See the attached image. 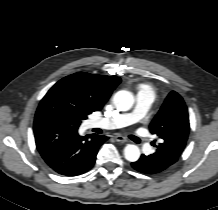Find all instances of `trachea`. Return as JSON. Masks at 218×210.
I'll return each instance as SVG.
<instances>
[{
    "label": "trachea",
    "mask_w": 218,
    "mask_h": 210,
    "mask_svg": "<svg viewBox=\"0 0 218 210\" xmlns=\"http://www.w3.org/2000/svg\"><path fill=\"white\" fill-rule=\"evenodd\" d=\"M131 139H132L133 141H135L136 143H139V142H140L139 138H137V137H135V136H131Z\"/></svg>",
    "instance_id": "3493384b"
}]
</instances>
